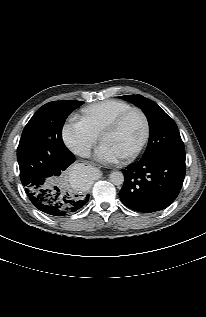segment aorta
I'll return each mask as SVG.
<instances>
[{"instance_id": "obj_1", "label": "aorta", "mask_w": 206, "mask_h": 317, "mask_svg": "<svg viewBox=\"0 0 206 317\" xmlns=\"http://www.w3.org/2000/svg\"><path fill=\"white\" fill-rule=\"evenodd\" d=\"M110 182L114 185H121L124 182V175L122 172L115 171L109 175Z\"/></svg>"}]
</instances>
